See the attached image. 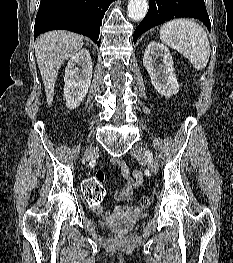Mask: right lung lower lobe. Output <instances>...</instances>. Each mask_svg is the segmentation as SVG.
<instances>
[{"label":"right lung lower lobe","mask_w":233,"mask_h":263,"mask_svg":"<svg viewBox=\"0 0 233 263\" xmlns=\"http://www.w3.org/2000/svg\"><path fill=\"white\" fill-rule=\"evenodd\" d=\"M114 0H41L34 39L46 31L64 29L88 36L100 45L99 31L105 11Z\"/></svg>","instance_id":"right-lung-lower-lobe-1"}]
</instances>
